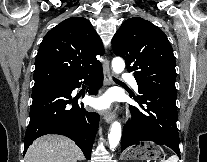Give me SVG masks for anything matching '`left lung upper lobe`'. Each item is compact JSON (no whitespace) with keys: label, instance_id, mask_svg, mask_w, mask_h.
<instances>
[{"label":"left lung upper lobe","instance_id":"5c2ea615","mask_svg":"<svg viewBox=\"0 0 207 162\" xmlns=\"http://www.w3.org/2000/svg\"><path fill=\"white\" fill-rule=\"evenodd\" d=\"M113 51L125 59L139 90L146 88L176 91L175 58L164 32L140 17L123 22L112 39Z\"/></svg>","mask_w":207,"mask_h":162}]
</instances>
